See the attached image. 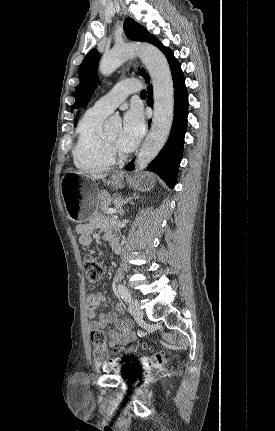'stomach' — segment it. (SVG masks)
Wrapping results in <instances>:
<instances>
[{
	"mask_svg": "<svg viewBox=\"0 0 275 431\" xmlns=\"http://www.w3.org/2000/svg\"><path fill=\"white\" fill-rule=\"evenodd\" d=\"M89 177L70 172L61 179V195L68 218L75 223H83L91 218L98 205L97 193L89 187ZM111 182L114 186L122 183L121 175H113ZM155 178L151 174H145L138 182L141 190L151 188Z\"/></svg>",
	"mask_w": 275,
	"mask_h": 431,
	"instance_id": "stomach-1",
	"label": "stomach"
}]
</instances>
